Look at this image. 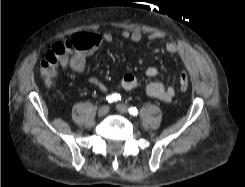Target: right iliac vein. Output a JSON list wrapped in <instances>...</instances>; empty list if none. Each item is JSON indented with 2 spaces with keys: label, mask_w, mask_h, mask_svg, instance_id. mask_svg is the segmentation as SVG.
<instances>
[{
  "label": "right iliac vein",
  "mask_w": 245,
  "mask_h": 187,
  "mask_svg": "<svg viewBox=\"0 0 245 187\" xmlns=\"http://www.w3.org/2000/svg\"><path fill=\"white\" fill-rule=\"evenodd\" d=\"M108 112H109V107L107 105H104V106L100 107V109L98 110V116L103 117V116L107 115Z\"/></svg>",
  "instance_id": "obj_1"
}]
</instances>
